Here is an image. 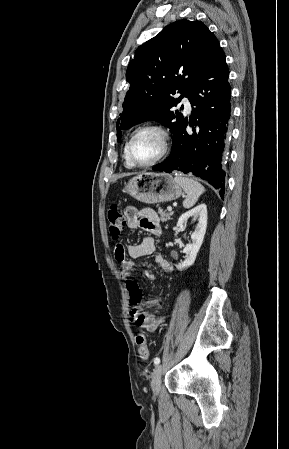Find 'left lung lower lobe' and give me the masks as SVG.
Returning <instances> with one entry per match:
<instances>
[{
    "instance_id": "left-lung-lower-lobe-1",
    "label": "left lung lower lobe",
    "mask_w": 289,
    "mask_h": 449,
    "mask_svg": "<svg viewBox=\"0 0 289 449\" xmlns=\"http://www.w3.org/2000/svg\"><path fill=\"white\" fill-rule=\"evenodd\" d=\"M224 52L219 47L206 61L193 83L188 99L192 120L187 133V118L174 132L170 155L153 170L171 173L178 170L208 181L224 198V154L227 151L231 88Z\"/></svg>"
}]
</instances>
